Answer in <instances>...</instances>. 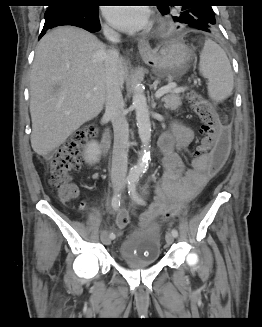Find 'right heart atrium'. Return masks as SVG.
Masks as SVG:
<instances>
[{
    "mask_svg": "<svg viewBox=\"0 0 262 327\" xmlns=\"http://www.w3.org/2000/svg\"><path fill=\"white\" fill-rule=\"evenodd\" d=\"M104 30L106 31V33H108L109 35H113L115 32H114V30L110 27V26H108V25H105L104 26Z\"/></svg>",
    "mask_w": 262,
    "mask_h": 327,
    "instance_id": "right-heart-atrium-1",
    "label": "right heart atrium"
}]
</instances>
